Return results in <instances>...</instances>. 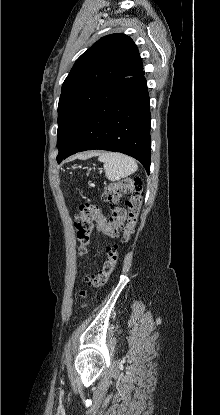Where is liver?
<instances>
[{
  "label": "liver",
  "instance_id": "obj_1",
  "mask_svg": "<svg viewBox=\"0 0 220 415\" xmlns=\"http://www.w3.org/2000/svg\"><path fill=\"white\" fill-rule=\"evenodd\" d=\"M95 155V153H90L89 156Z\"/></svg>",
  "mask_w": 220,
  "mask_h": 415
}]
</instances>
